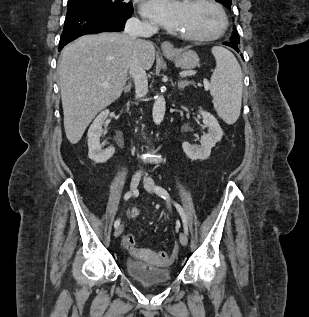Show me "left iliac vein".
<instances>
[{
	"instance_id": "1",
	"label": "left iliac vein",
	"mask_w": 309,
	"mask_h": 317,
	"mask_svg": "<svg viewBox=\"0 0 309 317\" xmlns=\"http://www.w3.org/2000/svg\"><path fill=\"white\" fill-rule=\"evenodd\" d=\"M143 184H144L145 189L148 192L153 193V191H154V182H153V180L150 177L145 176L144 179H143ZM179 240H180V243L183 246H186L188 244V238H187V235L184 232H181L179 234Z\"/></svg>"
}]
</instances>
